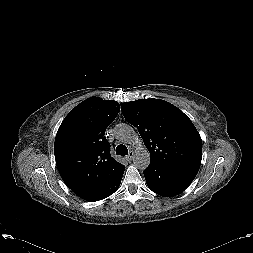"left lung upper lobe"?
<instances>
[{
    "label": "left lung upper lobe",
    "instance_id": "5c2ea615",
    "mask_svg": "<svg viewBox=\"0 0 253 253\" xmlns=\"http://www.w3.org/2000/svg\"><path fill=\"white\" fill-rule=\"evenodd\" d=\"M124 118L136 127L151 161L183 162L200 167L202 140L191 120L160 99L121 103Z\"/></svg>",
    "mask_w": 253,
    "mask_h": 253
}]
</instances>
